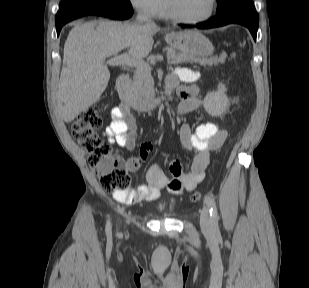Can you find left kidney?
<instances>
[{
  "mask_svg": "<svg viewBox=\"0 0 309 288\" xmlns=\"http://www.w3.org/2000/svg\"><path fill=\"white\" fill-rule=\"evenodd\" d=\"M225 92V86L219 84L217 91L210 92L205 96L203 105L207 113L212 116H220L224 113L229 103Z\"/></svg>",
  "mask_w": 309,
  "mask_h": 288,
  "instance_id": "left-kidney-1",
  "label": "left kidney"
}]
</instances>
